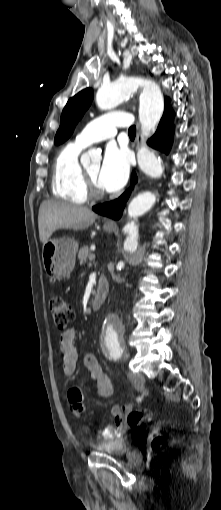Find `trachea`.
<instances>
[{
	"label": "trachea",
	"mask_w": 221,
	"mask_h": 510,
	"mask_svg": "<svg viewBox=\"0 0 221 510\" xmlns=\"http://www.w3.org/2000/svg\"><path fill=\"white\" fill-rule=\"evenodd\" d=\"M128 134H129V136H135V134H136V127L135 126L130 127L129 130H128Z\"/></svg>",
	"instance_id": "obj_1"
}]
</instances>
